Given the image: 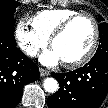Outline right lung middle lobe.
Listing matches in <instances>:
<instances>
[{
	"mask_svg": "<svg viewBox=\"0 0 108 108\" xmlns=\"http://www.w3.org/2000/svg\"><path fill=\"white\" fill-rule=\"evenodd\" d=\"M19 2L13 0H0V30L14 35V13Z\"/></svg>",
	"mask_w": 108,
	"mask_h": 108,
	"instance_id": "1",
	"label": "right lung middle lobe"
}]
</instances>
